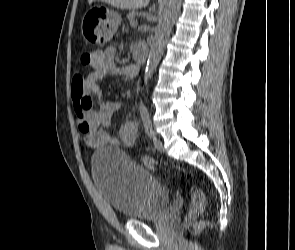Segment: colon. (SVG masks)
Wrapping results in <instances>:
<instances>
[{"instance_id": "5ec220e1", "label": "colon", "mask_w": 295, "mask_h": 250, "mask_svg": "<svg viewBox=\"0 0 295 250\" xmlns=\"http://www.w3.org/2000/svg\"><path fill=\"white\" fill-rule=\"evenodd\" d=\"M92 60V52H85L81 56V62L85 65H89ZM148 166L153 170H160L159 165L154 161H148ZM205 207V196L203 192L196 186L192 187L190 195V207L187 215L188 219H193L201 214Z\"/></svg>"}]
</instances>
